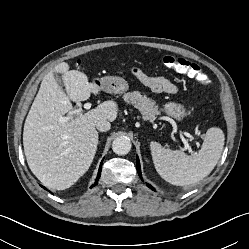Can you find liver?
Returning <instances> with one entry per match:
<instances>
[{
	"label": "liver",
	"mask_w": 249,
	"mask_h": 249,
	"mask_svg": "<svg viewBox=\"0 0 249 249\" xmlns=\"http://www.w3.org/2000/svg\"><path fill=\"white\" fill-rule=\"evenodd\" d=\"M61 78L66 93L55 79ZM100 87L90 83L78 70H69L62 62L42 80L40 89L27 115L23 145L32 173L43 185L57 190L72 186L89 169L96 154L99 135L96 123L102 119L114 121L117 105L106 101L95 109L64 123L59 119L71 111L72 103L99 94Z\"/></svg>",
	"instance_id": "1"
}]
</instances>
